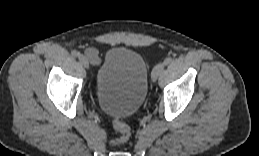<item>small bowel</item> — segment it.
<instances>
[{
  "label": "small bowel",
  "mask_w": 259,
  "mask_h": 156,
  "mask_svg": "<svg viewBox=\"0 0 259 156\" xmlns=\"http://www.w3.org/2000/svg\"><path fill=\"white\" fill-rule=\"evenodd\" d=\"M86 55L90 63L92 64H99L100 57L96 49L90 47L86 49Z\"/></svg>",
  "instance_id": "obj_1"
}]
</instances>
